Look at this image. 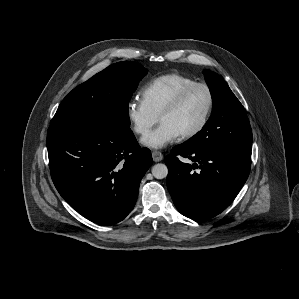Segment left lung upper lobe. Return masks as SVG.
Here are the masks:
<instances>
[{
    "mask_svg": "<svg viewBox=\"0 0 299 299\" xmlns=\"http://www.w3.org/2000/svg\"><path fill=\"white\" fill-rule=\"evenodd\" d=\"M203 74L213 100L212 113L202 130L185 144L203 151H251L252 131L244 107L217 73L205 70Z\"/></svg>",
    "mask_w": 299,
    "mask_h": 299,
    "instance_id": "obj_1",
    "label": "left lung upper lobe"
}]
</instances>
